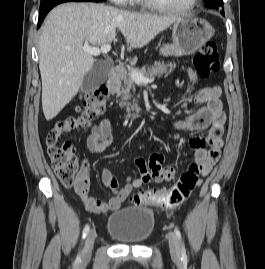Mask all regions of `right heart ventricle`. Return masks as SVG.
Returning <instances> with one entry per match:
<instances>
[{
    "label": "right heart ventricle",
    "instance_id": "1",
    "mask_svg": "<svg viewBox=\"0 0 265 269\" xmlns=\"http://www.w3.org/2000/svg\"><path fill=\"white\" fill-rule=\"evenodd\" d=\"M133 4H143L144 0H131Z\"/></svg>",
    "mask_w": 265,
    "mask_h": 269
}]
</instances>
